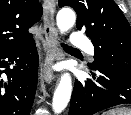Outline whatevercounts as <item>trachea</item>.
<instances>
[{
  "instance_id": "obj_1",
  "label": "trachea",
  "mask_w": 131,
  "mask_h": 115,
  "mask_svg": "<svg viewBox=\"0 0 131 115\" xmlns=\"http://www.w3.org/2000/svg\"><path fill=\"white\" fill-rule=\"evenodd\" d=\"M62 47H63L64 49L78 50V49H76V48H73V47L68 46V45H66V44H63V43H62Z\"/></svg>"
}]
</instances>
